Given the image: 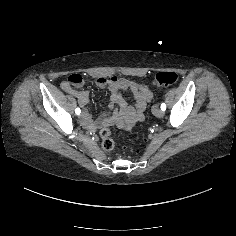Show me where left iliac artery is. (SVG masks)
I'll return each mask as SVG.
<instances>
[{
    "label": "left iliac artery",
    "mask_w": 236,
    "mask_h": 236,
    "mask_svg": "<svg viewBox=\"0 0 236 236\" xmlns=\"http://www.w3.org/2000/svg\"><path fill=\"white\" fill-rule=\"evenodd\" d=\"M161 110L165 111L166 110V105L164 103L161 104Z\"/></svg>",
    "instance_id": "obj_1"
}]
</instances>
